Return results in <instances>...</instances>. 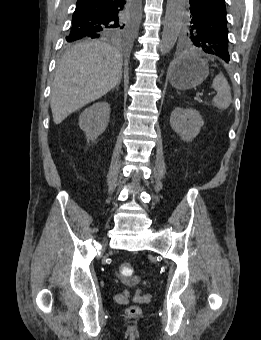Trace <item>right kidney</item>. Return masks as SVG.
I'll list each match as a JSON object with an SVG mask.
<instances>
[{
	"label": "right kidney",
	"mask_w": 261,
	"mask_h": 340,
	"mask_svg": "<svg viewBox=\"0 0 261 340\" xmlns=\"http://www.w3.org/2000/svg\"><path fill=\"white\" fill-rule=\"evenodd\" d=\"M110 116V105L97 102L86 108L79 116V126L88 140L94 141L107 128Z\"/></svg>",
	"instance_id": "ca27d5eb"
}]
</instances>
